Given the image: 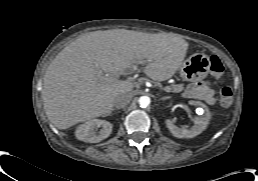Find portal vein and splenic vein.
Instances as JSON below:
<instances>
[{
	"label": "portal vein and splenic vein",
	"instance_id": "1",
	"mask_svg": "<svg viewBox=\"0 0 258 181\" xmlns=\"http://www.w3.org/2000/svg\"><path fill=\"white\" fill-rule=\"evenodd\" d=\"M165 92H171V90L168 87L163 88Z\"/></svg>",
	"mask_w": 258,
	"mask_h": 181
}]
</instances>
